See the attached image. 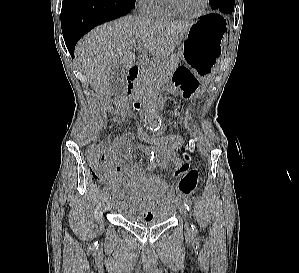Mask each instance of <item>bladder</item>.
<instances>
[{
  "label": "bladder",
  "instance_id": "obj_1",
  "mask_svg": "<svg viewBox=\"0 0 299 273\" xmlns=\"http://www.w3.org/2000/svg\"><path fill=\"white\" fill-rule=\"evenodd\" d=\"M174 207L172 209L163 210L155 209L152 211V215L148 218L143 216L142 213L137 210H126L122 213V217L132 225L146 228L166 223L170 219Z\"/></svg>",
  "mask_w": 299,
  "mask_h": 273
}]
</instances>
